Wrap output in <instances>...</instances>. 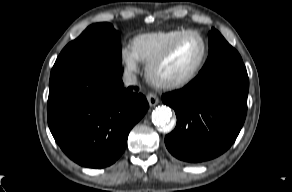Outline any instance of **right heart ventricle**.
<instances>
[{
	"label": "right heart ventricle",
	"mask_w": 292,
	"mask_h": 192,
	"mask_svg": "<svg viewBox=\"0 0 292 192\" xmlns=\"http://www.w3.org/2000/svg\"><path fill=\"white\" fill-rule=\"evenodd\" d=\"M187 29L176 28L137 35L132 40V49L138 60L149 64L154 60L178 35Z\"/></svg>",
	"instance_id": "obj_1"
}]
</instances>
